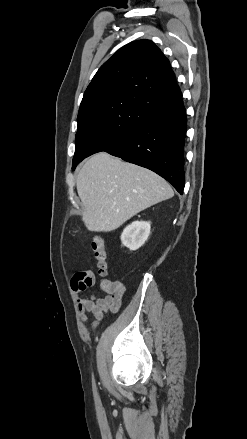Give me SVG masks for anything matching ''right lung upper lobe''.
<instances>
[{
	"mask_svg": "<svg viewBox=\"0 0 247 439\" xmlns=\"http://www.w3.org/2000/svg\"><path fill=\"white\" fill-rule=\"evenodd\" d=\"M168 59L150 40L120 48L97 71L79 113L113 100H128L149 110L181 96Z\"/></svg>",
	"mask_w": 247,
	"mask_h": 439,
	"instance_id": "1",
	"label": "right lung upper lobe"
}]
</instances>
